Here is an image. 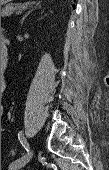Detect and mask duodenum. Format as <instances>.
Wrapping results in <instances>:
<instances>
[{
  "label": "duodenum",
  "mask_w": 109,
  "mask_h": 170,
  "mask_svg": "<svg viewBox=\"0 0 109 170\" xmlns=\"http://www.w3.org/2000/svg\"><path fill=\"white\" fill-rule=\"evenodd\" d=\"M3 61H4V63H6V62H7V57H6V54H5V56H4V59H3Z\"/></svg>",
  "instance_id": "obj_1"
}]
</instances>
